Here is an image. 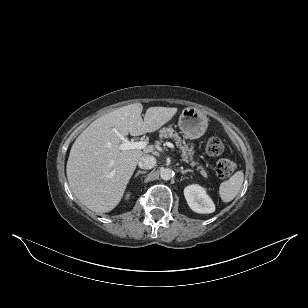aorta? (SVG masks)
I'll return each mask as SVG.
<instances>
[{"instance_id":"obj_1","label":"aorta","mask_w":308,"mask_h":308,"mask_svg":"<svg viewBox=\"0 0 308 308\" xmlns=\"http://www.w3.org/2000/svg\"><path fill=\"white\" fill-rule=\"evenodd\" d=\"M172 176H173V171L169 168H164L160 171V177L165 181L170 180Z\"/></svg>"}]
</instances>
